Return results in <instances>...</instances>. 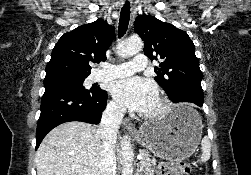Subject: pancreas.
<instances>
[{
  "instance_id": "cf45deb5",
  "label": "pancreas",
  "mask_w": 251,
  "mask_h": 175,
  "mask_svg": "<svg viewBox=\"0 0 251 175\" xmlns=\"http://www.w3.org/2000/svg\"><path fill=\"white\" fill-rule=\"evenodd\" d=\"M142 159L140 161L142 169H144V175H154V169L156 161L152 155H150L147 149H140ZM152 157V159H151Z\"/></svg>"
}]
</instances>
